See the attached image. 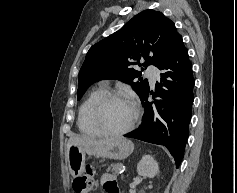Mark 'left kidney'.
I'll return each mask as SVG.
<instances>
[{
	"label": "left kidney",
	"instance_id": "5707ae66",
	"mask_svg": "<svg viewBox=\"0 0 237 193\" xmlns=\"http://www.w3.org/2000/svg\"><path fill=\"white\" fill-rule=\"evenodd\" d=\"M137 172L143 177H155L159 172L158 163L151 155H144L137 165Z\"/></svg>",
	"mask_w": 237,
	"mask_h": 193
}]
</instances>
